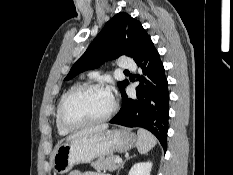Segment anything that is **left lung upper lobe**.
<instances>
[{"label":"left lung upper lobe","instance_id":"1","mask_svg":"<svg viewBox=\"0 0 233 175\" xmlns=\"http://www.w3.org/2000/svg\"><path fill=\"white\" fill-rule=\"evenodd\" d=\"M152 44L138 20L127 13H118L106 23L86 52L75 62L65 80L121 55L130 56L136 61ZM127 84V80L118 83L121 93Z\"/></svg>","mask_w":233,"mask_h":175}]
</instances>
